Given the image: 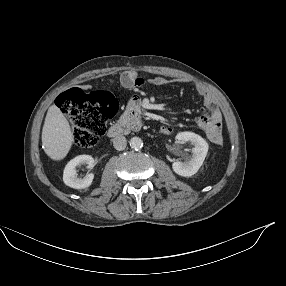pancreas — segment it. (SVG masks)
<instances>
[{"label":"pancreas","mask_w":286,"mask_h":286,"mask_svg":"<svg viewBox=\"0 0 286 286\" xmlns=\"http://www.w3.org/2000/svg\"><path fill=\"white\" fill-rule=\"evenodd\" d=\"M130 112V109H127L124 113V115L122 116V119H124Z\"/></svg>","instance_id":"cf45deb5"}]
</instances>
